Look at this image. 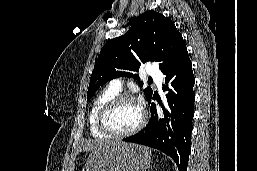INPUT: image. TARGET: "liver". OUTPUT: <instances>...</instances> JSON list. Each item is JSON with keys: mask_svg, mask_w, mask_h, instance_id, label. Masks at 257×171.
I'll list each match as a JSON object with an SVG mask.
<instances>
[{"mask_svg": "<svg viewBox=\"0 0 257 171\" xmlns=\"http://www.w3.org/2000/svg\"><path fill=\"white\" fill-rule=\"evenodd\" d=\"M114 142L111 141H101V140H89V141H85L81 147L79 148V150H83V151H95L98 149H101L103 147H106L110 144H112ZM74 160V157L72 158ZM73 160L69 165V171H73L74 170V164H73Z\"/></svg>", "mask_w": 257, "mask_h": 171, "instance_id": "1", "label": "liver"}]
</instances>
